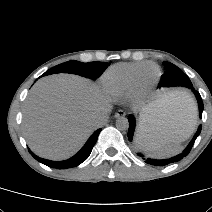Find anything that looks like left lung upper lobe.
<instances>
[{
  "instance_id": "left-lung-upper-lobe-1",
  "label": "left lung upper lobe",
  "mask_w": 212,
  "mask_h": 212,
  "mask_svg": "<svg viewBox=\"0 0 212 212\" xmlns=\"http://www.w3.org/2000/svg\"><path fill=\"white\" fill-rule=\"evenodd\" d=\"M166 72L163 74L160 86H184L191 87L192 83L189 77L182 72L177 66L170 62H163Z\"/></svg>"
}]
</instances>
